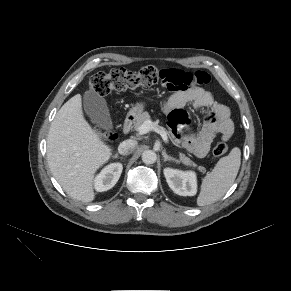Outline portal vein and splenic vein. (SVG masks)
Wrapping results in <instances>:
<instances>
[{
    "mask_svg": "<svg viewBox=\"0 0 291 291\" xmlns=\"http://www.w3.org/2000/svg\"><path fill=\"white\" fill-rule=\"evenodd\" d=\"M150 131H155L157 132L158 134L161 135L163 141L165 143H168V136H167V133L166 131L164 130L163 127H160L158 125H156L155 123H153L151 120H147L145 121L138 129V133L140 135H143V134H146Z\"/></svg>",
    "mask_w": 291,
    "mask_h": 291,
    "instance_id": "portal-vein-and-splenic-vein-1",
    "label": "portal vein and splenic vein"
}]
</instances>
